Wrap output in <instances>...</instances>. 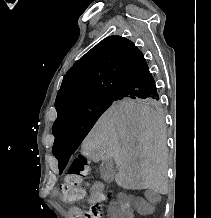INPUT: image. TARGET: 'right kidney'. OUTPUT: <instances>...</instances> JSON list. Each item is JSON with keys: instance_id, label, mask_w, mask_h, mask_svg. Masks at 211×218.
<instances>
[{"instance_id": "obj_1", "label": "right kidney", "mask_w": 211, "mask_h": 218, "mask_svg": "<svg viewBox=\"0 0 211 218\" xmlns=\"http://www.w3.org/2000/svg\"><path fill=\"white\" fill-rule=\"evenodd\" d=\"M117 198H122V201H113V206H109V217L134 218L133 202H140V197H130V193H117Z\"/></svg>"}]
</instances>
